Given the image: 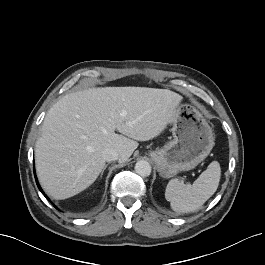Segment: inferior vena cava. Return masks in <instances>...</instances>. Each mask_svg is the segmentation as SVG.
I'll use <instances>...</instances> for the list:
<instances>
[{
  "label": "inferior vena cava",
  "instance_id": "obj_1",
  "mask_svg": "<svg viewBox=\"0 0 265 265\" xmlns=\"http://www.w3.org/2000/svg\"><path fill=\"white\" fill-rule=\"evenodd\" d=\"M102 156L106 162L115 161V160H118V158H119L118 152L114 149H106L103 152Z\"/></svg>",
  "mask_w": 265,
  "mask_h": 265
}]
</instances>
